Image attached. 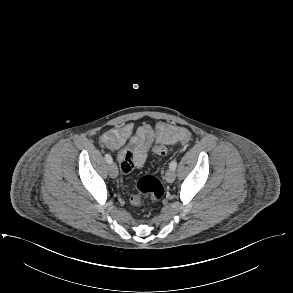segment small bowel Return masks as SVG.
Returning a JSON list of instances; mask_svg holds the SVG:
<instances>
[{
  "mask_svg": "<svg viewBox=\"0 0 293 293\" xmlns=\"http://www.w3.org/2000/svg\"><path fill=\"white\" fill-rule=\"evenodd\" d=\"M190 138L189 130L167 122H158L154 128L144 124L136 130L132 123H125L106 131L100 143L116 153L121 171L129 173L144 165L153 139L185 145Z\"/></svg>",
  "mask_w": 293,
  "mask_h": 293,
  "instance_id": "small-bowel-1",
  "label": "small bowel"
}]
</instances>
